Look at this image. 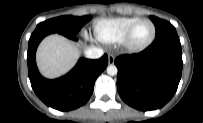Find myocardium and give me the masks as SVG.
Instances as JSON below:
<instances>
[{
    "instance_id": "f54148a6",
    "label": "myocardium",
    "mask_w": 203,
    "mask_h": 123,
    "mask_svg": "<svg viewBox=\"0 0 203 123\" xmlns=\"http://www.w3.org/2000/svg\"><path fill=\"white\" fill-rule=\"evenodd\" d=\"M142 22H148L152 25V28H153V32H152V36L150 37V39L145 42L144 44H141V45H134L132 42H131V37H132V34L135 30V28ZM155 37H156V26L154 24V22L148 18H140L139 20H137L136 22H134L128 29L127 31L125 32V34L123 35L120 43L121 45L128 51L130 52H139V51H142L144 49H146L147 47H149L153 41L155 40Z\"/></svg>"
}]
</instances>
